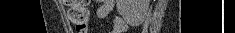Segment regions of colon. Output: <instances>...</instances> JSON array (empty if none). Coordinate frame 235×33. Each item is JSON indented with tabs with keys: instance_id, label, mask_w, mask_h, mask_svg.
<instances>
[{
	"instance_id": "1",
	"label": "colon",
	"mask_w": 235,
	"mask_h": 33,
	"mask_svg": "<svg viewBox=\"0 0 235 33\" xmlns=\"http://www.w3.org/2000/svg\"><path fill=\"white\" fill-rule=\"evenodd\" d=\"M68 6L67 15L77 31L84 33L89 22L88 0H64Z\"/></svg>"
}]
</instances>
